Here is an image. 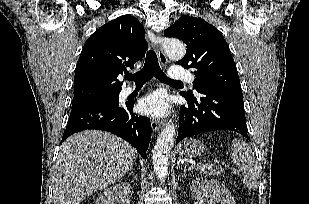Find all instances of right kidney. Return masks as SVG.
<instances>
[{"label":"right kidney","mask_w":309,"mask_h":204,"mask_svg":"<svg viewBox=\"0 0 309 204\" xmlns=\"http://www.w3.org/2000/svg\"><path fill=\"white\" fill-rule=\"evenodd\" d=\"M131 185L129 183H119L107 188L97 198L95 204H114L120 199L121 204H130Z\"/></svg>","instance_id":"ca27d5eb"}]
</instances>
